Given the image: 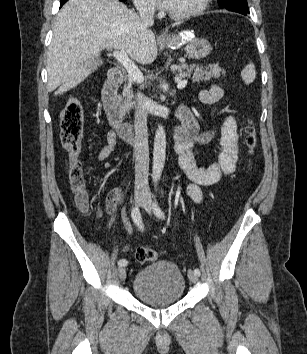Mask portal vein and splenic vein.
<instances>
[{"instance_id":"portal-vein-and-splenic-vein-1","label":"portal vein and splenic vein","mask_w":307,"mask_h":354,"mask_svg":"<svg viewBox=\"0 0 307 354\" xmlns=\"http://www.w3.org/2000/svg\"><path fill=\"white\" fill-rule=\"evenodd\" d=\"M113 56L127 70L130 79L137 83H142L144 81L143 74L135 65V63L129 59L128 55L123 49L120 51H113ZM175 81L177 82L178 89H183L187 85V80L185 79L181 80L179 78H175Z\"/></svg>"}]
</instances>
